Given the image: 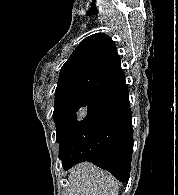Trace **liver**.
<instances>
[{
	"label": "liver",
	"mask_w": 178,
	"mask_h": 195,
	"mask_svg": "<svg viewBox=\"0 0 178 195\" xmlns=\"http://www.w3.org/2000/svg\"><path fill=\"white\" fill-rule=\"evenodd\" d=\"M118 182L108 172L89 162L70 170L68 195H118Z\"/></svg>",
	"instance_id": "obj_1"
}]
</instances>
